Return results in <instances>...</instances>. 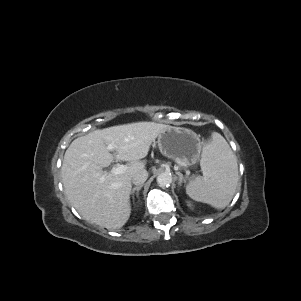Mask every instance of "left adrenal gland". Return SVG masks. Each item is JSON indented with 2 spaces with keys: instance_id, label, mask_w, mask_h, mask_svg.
<instances>
[{
  "instance_id": "obj_1",
  "label": "left adrenal gland",
  "mask_w": 301,
  "mask_h": 301,
  "mask_svg": "<svg viewBox=\"0 0 301 301\" xmlns=\"http://www.w3.org/2000/svg\"><path fill=\"white\" fill-rule=\"evenodd\" d=\"M176 174L179 176V182L178 185L181 186V184L186 182L185 178L183 177L182 173L176 172Z\"/></svg>"
}]
</instances>
